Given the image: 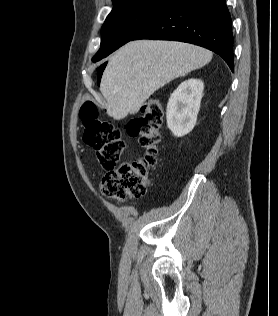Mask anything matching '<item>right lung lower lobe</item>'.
Instances as JSON below:
<instances>
[{
  "instance_id": "obj_1",
  "label": "right lung lower lobe",
  "mask_w": 278,
  "mask_h": 316,
  "mask_svg": "<svg viewBox=\"0 0 278 316\" xmlns=\"http://www.w3.org/2000/svg\"><path fill=\"white\" fill-rule=\"evenodd\" d=\"M138 39L175 40L205 47L220 55L233 71L231 16L225 0H168L132 40Z\"/></svg>"
}]
</instances>
